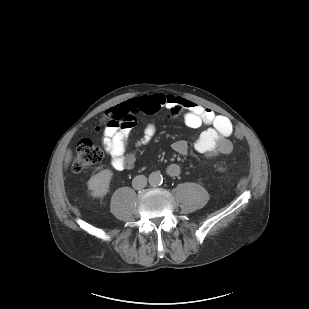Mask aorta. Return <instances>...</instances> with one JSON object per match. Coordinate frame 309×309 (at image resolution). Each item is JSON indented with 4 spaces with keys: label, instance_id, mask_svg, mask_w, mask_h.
Instances as JSON below:
<instances>
[{
    "label": "aorta",
    "instance_id": "obj_1",
    "mask_svg": "<svg viewBox=\"0 0 309 309\" xmlns=\"http://www.w3.org/2000/svg\"><path fill=\"white\" fill-rule=\"evenodd\" d=\"M149 184L152 186L161 185L163 182L162 174L159 171L152 172L148 178Z\"/></svg>",
    "mask_w": 309,
    "mask_h": 309
}]
</instances>
